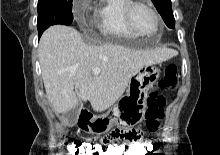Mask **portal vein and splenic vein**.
I'll return each instance as SVG.
<instances>
[{
  "instance_id": "18ae733b",
  "label": "portal vein and splenic vein",
  "mask_w": 220,
  "mask_h": 155,
  "mask_svg": "<svg viewBox=\"0 0 220 155\" xmlns=\"http://www.w3.org/2000/svg\"><path fill=\"white\" fill-rule=\"evenodd\" d=\"M100 72H101V69H100V68H94V69H93V75H94V76H98V75L100 74Z\"/></svg>"
}]
</instances>
